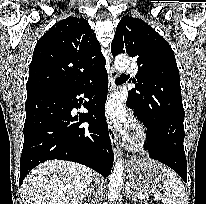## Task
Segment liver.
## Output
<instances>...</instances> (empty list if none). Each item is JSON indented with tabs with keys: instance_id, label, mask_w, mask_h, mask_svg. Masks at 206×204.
<instances>
[{
	"instance_id": "obj_1",
	"label": "liver",
	"mask_w": 206,
	"mask_h": 204,
	"mask_svg": "<svg viewBox=\"0 0 206 204\" xmlns=\"http://www.w3.org/2000/svg\"><path fill=\"white\" fill-rule=\"evenodd\" d=\"M92 180L95 174L84 165L46 161L25 177L21 193L25 204H82Z\"/></svg>"
}]
</instances>
